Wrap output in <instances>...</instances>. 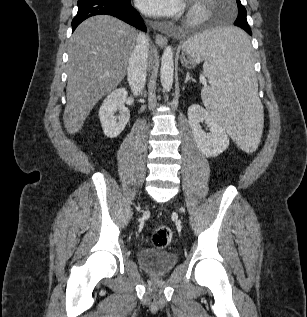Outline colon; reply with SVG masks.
Listing matches in <instances>:
<instances>
[{
    "instance_id": "colon-1",
    "label": "colon",
    "mask_w": 307,
    "mask_h": 317,
    "mask_svg": "<svg viewBox=\"0 0 307 317\" xmlns=\"http://www.w3.org/2000/svg\"><path fill=\"white\" fill-rule=\"evenodd\" d=\"M152 244L157 249H164L172 242V231L169 227L158 226L152 234Z\"/></svg>"
}]
</instances>
